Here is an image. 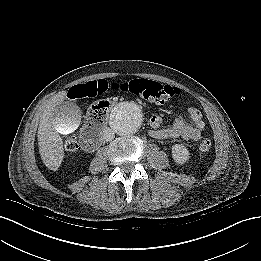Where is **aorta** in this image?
<instances>
[{
  "label": "aorta",
  "mask_w": 261,
  "mask_h": 261,
  "mask_svg": "<svg viewBox=\"0 0 261 261\" xmlns=\"http://www.w3.org/2000/svg\"><path fill=\"white\" fill-rule=\"evenodd\" d=\"M143 117V112L137 103L122 102L111 111L110 126L119 135H130L139 130Z\"/></svg>",
  "instance_id": "aorta-1"
}]
</instances>
